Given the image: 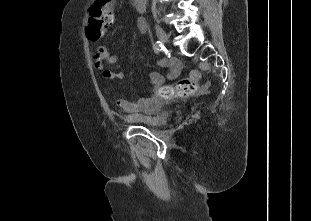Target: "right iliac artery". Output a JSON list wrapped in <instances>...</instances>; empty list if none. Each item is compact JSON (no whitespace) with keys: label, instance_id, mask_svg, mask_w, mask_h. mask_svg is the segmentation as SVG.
I'll use <instances>...</instances> for the list:
<instances>
[{"label":"right iliac artery","instance_id":"82829eb1","mask_svg":"<svg viewBox=\"0 0 311 221\" xmlns=\"http://www.w3.org/2000/svg\"><path fill=\"white\" fill-rule=\"evenodd\" d=\"M164 48L163 44L161 41H156L154 45V51L155 53H159L162 49Z\"/></svg>","mask_w":311,"mask_h":221}]
</instances>
